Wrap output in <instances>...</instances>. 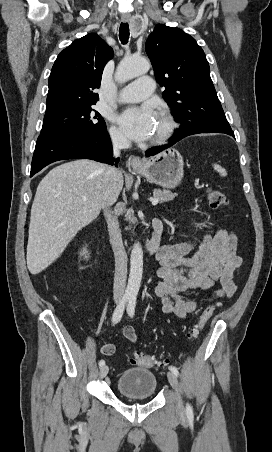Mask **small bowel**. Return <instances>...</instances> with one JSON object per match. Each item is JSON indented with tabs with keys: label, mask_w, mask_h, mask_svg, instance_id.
<instances>
[{
	"label": "small bowel",
	"mask_w": 272,
	"mask_h": 452,
	"mask_svg": "<svg viewBox=\"0 0 272 452\" xmlns=\"http://www.w3.org/2000/svg\"><path fill=\"white\" fill-rule=\"evenodd\" d=\"M237 243L234 233L218 229L198 242L188 240L163 246L157 255L159 282L154 289L162 301L163 313L185 318L194 312L198 303L184 296L194 289H212L209 300L230 298L236 290L235 278L243 262L237 254ZM216 285L219 287L215 288ZM122 332L130 342L137 341L133 327L125 326ZM101 351L111 356L116 347L107 343Z\"/></svg>",
	"instance_id": "1"
}]
</instances>
